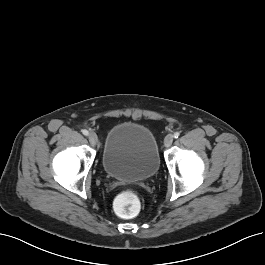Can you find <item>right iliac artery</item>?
I'll list each match as a JSON object with an SVG mask.
<instances>
[{"mask_svg":"<svg viewBox=\"0 0 265 265\" xmlns=\"http://www.w3.org/2000/svg\"><path fill=\"white\" fill-rule=\"evenodd\" d=\"M82 133H83L85 136H88V135H89V132H88L86 129H84V130L82 131Z\"/></svg>","mask_w":265,"mask_h":265,"instance_id":"right-iliac-artery-1","label":"right iliac artery"}]
</instances>
